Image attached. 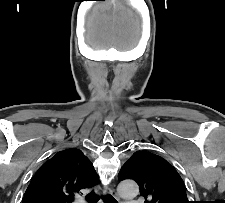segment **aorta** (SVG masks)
I'll use <instances>...</instances> for the list:
<instances>
[{"label": "aorta", "mask_w": 225, "mask_h": 203, "mask_svg": "<svg viewBox=\"0 0 225 203\" xmlns=\"http://www.w3.org/2000/svg\"><path fill=\"white\" fill-rule=\"evenodd\" d=\"M118 194L123 198H132L139 193L138 185L134 181L125 180L117 187Z\"/></svg>", "instance_id": "762f6f07"}]
</instances>
